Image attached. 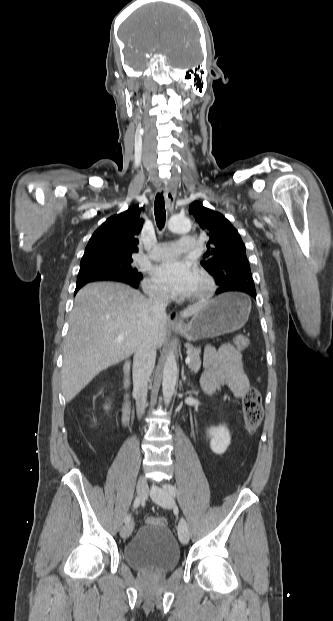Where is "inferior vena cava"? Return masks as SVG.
<instances>
[{
    "label": "inferior vena cava",
    "mask_w": 333,
    "mask_h": 621,
    "mask_svg": "<svg viewBox=\"0 0 333 621\" xmlns=\"http://www.w3.org/2000/svg\"><path fill=\"white\" fill-rule=\"evenodd\" d=\"M168 294L156 291L149 296L151 310L158 316L165 315L168 305ZM156 345L149 336H143L133 358V386L136 397V412L140 418L147 406L148 380L155 366Z\"/></svg>",
    "instance_id": "602c4592"
}]
</instances>
